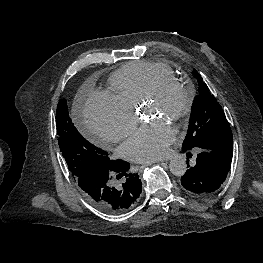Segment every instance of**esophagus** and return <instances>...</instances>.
I'll return each mask as SVG.
<instances>
[{
  "mask_svg": "<svg viewBox=\"0 0 263 263\" xmlns=\"http://www.w3.org/2000/svg\"><path fill=\"white\" fill-rule=\"evenodd\" d=\"M153 163H155V162H147V163L143 164L142 167L149 166V165H151V164H153Z\"/></svg>",
  "mask_w": 263,
  "mask_h": 263,
  "instance_id": "1",
  "label": "esophagus"
}]
</instances>
